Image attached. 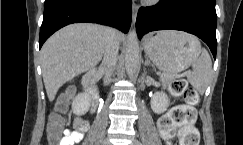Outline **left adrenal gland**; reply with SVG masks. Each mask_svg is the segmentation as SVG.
<instances>
[{
	"label": "left adrenal gland",
	"instance_id": "a2214340",
	"mask_svg": "<svg viewBox=\"0 0 243 145\" xmlns=\"http://www.w3.org/2000/svg\"><path fill=\"white\" fill-rule=\"evenodd\" d=\"M144 65L145 66H153L151 63H150V61H149V59L146 57V60H145V63H144Z\"/></svg>",
	"mask_w": 243,
	"mask_h": 145
}]
</instances>
